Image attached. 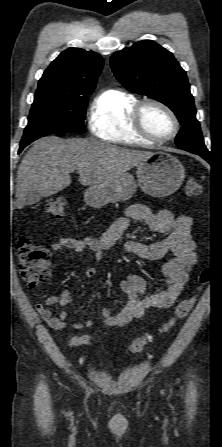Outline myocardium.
I'll return each mask as SVG.
<instances>
[{
    "label": "myocardium",
    "instance_id": "myocardium-1",
    "mask_svg": "<svg viewBox=\"0 0 222 447\" xmlns=\"http://www.w3.org/2000/svg\"><path fill=\"white\" fill-rule=\"evenodd\" d=\"M148 105H153V106L159 107L170 117V119L172 120V123H173V131L169 136H167L165 138H159V137L152 135L150 132L147 131V129L145 128V126L143 124L142 114H143L145 107ZM131 119H132V123H133L135 130L144 138H146L152 142H155V143H165V142L170 141L178 134L179 128H180L179 120H178L176 114L174 113V111L168 105H166L164 102L157 100V99H153V98H146V99L138 101L132 111Z\"/></svg>",
    "mask_w": 222,
    "mask_h": 447
}]
</instances>
